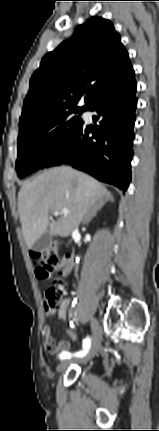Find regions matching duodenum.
<instances>
[{
	"label": "duodenum",
	"instance_id": "410a0bca",
	"mask_svg": "<svg viewBox=\"0 0 159 431\" xmlns=\"http://www.w3.org/2000/svg\"><path fill=\"white\" fill-rule=\"evenodd\" d=\"M67 257L71 260V262L73 264V258L70 255H67Z\"/></svg>",
	"mask_w": 159,
	"mask_h": 431
}]
</instances>
